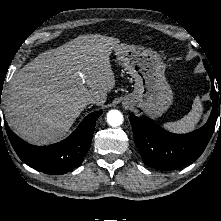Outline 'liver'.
<instances>
[{
    "label": "liver",
    "mask_w": 221,
    "mask_h": 221,
    "mask_svg": "<svg viewBox=\"0 0 221 221\" xmlns=\"http://www.w3.org/2000/svg\"><path fill=\"white\" fill-rule=\"evenodd\" d=\"M120 40L80 35L45 51L16 72L5 100V116L14 132L32 144L61 139L94 98L98 106L115 86L110 65Z\"/></svg>",
    "instance_id": "1"
}]
</instances>
